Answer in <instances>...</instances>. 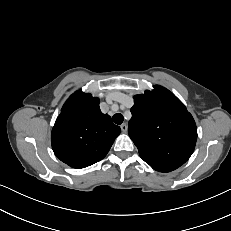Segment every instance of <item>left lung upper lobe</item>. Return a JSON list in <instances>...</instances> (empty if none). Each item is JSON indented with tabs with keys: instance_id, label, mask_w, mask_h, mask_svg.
Instances as JSON below:
<instances>
[{
	"instance_id": "5c2ea615",
	"label": "left lung upper lobe",
	"mask_w": 231,
	"mask_h": 231,
	"mask_svg": "<svg viewBox=\"0 0 231 231\" xmlns=\"http://www.w3.org/2000/svg\"><path fill=\"white\" fill-rule=\"evenodd\" d=\"M131 113L128 134L153 169L170 172L190 158L197 140L196 124L172 92L156 85L153 91L134 96Z\"/></svg>"
}]
</instances>
